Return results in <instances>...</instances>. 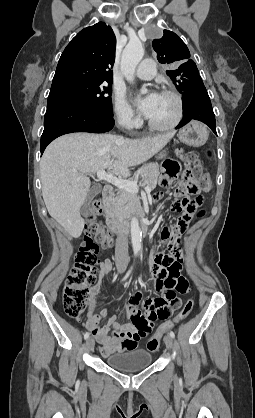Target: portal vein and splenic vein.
I'll list each match as a JSON object with an SVG mask.
<instances>
[{
  "instance_id": "18ae733b",
  "label": "portal vein and splenic vein",
  "mask_w": 255,
  "mask_h": 418,
  "mask_svg": "<svg viewBox=\"0 0 255 418\" xmlns=\"http://www.w3.org/2000/svg\"><path fill=\"white\" fill-rule=\"evenodd\" d=\"M97 178L100 179V180H104V181L118 187L119 189H124L128 192H131V193L136 194L139 191V186H138L136 181L118 178V177H116L112 174L106 173L105 170L97 171ZM145 191L147 193H150L151 188L149 186H147V187H145Z\"/></svg>"
}]
</instances>
